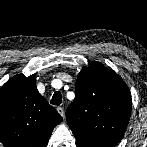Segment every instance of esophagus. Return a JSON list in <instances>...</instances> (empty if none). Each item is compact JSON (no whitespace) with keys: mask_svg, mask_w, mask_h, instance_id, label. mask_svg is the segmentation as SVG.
<instances>
[{"mask_svg":"<svg viewBox=\"0 0 147 147\" xmlns=\"http://www.w3.org/2000/svg\"><path fill=\"white\" fill-rule=\"evenodd\" d=\"M56 110H57L58 113L64 118V116H65V112H64L63 107L59 106V107H57Z\"/></svg>","mask_w":147,"mask_h":147,"instance_id":"1","label":"esophagus"}]
</instances>
